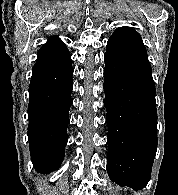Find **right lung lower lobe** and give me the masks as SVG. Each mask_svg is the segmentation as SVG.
Instances as JSON below:
<instances>
[{
	"label": "right lung lower lobe",
	"instance_id": "right-lung-lower-lobe-1",
	"mask_svg": "<svg viewBox=\"0 0 178 195\" xmlns=\"http://www.w3.org/2000/svg\"><path fill=\"white\" fill-rule=\"evenodd\" d=\"M73 68L71 60L33 69L29 85L28 140L37 172L59 168L67 144Z\"/></svg>",
	"mask_w": 178,
	"mask_h": 195
}]
</instances>
